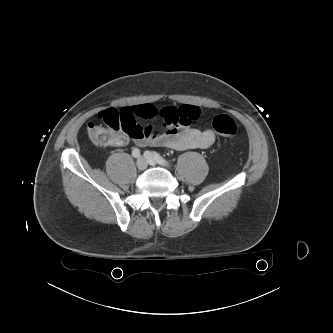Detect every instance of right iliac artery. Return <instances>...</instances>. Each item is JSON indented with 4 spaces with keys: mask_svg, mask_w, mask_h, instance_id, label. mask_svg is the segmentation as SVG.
I'll return each instance as SVG.
<instances>
[{
    "mask_svg": "<svg viewBox=\"0 0 333 333\" xmlns=\"http://www.w3.org/2000/svg\"><path fill=\"white\" fill-rule=\"evenodd\" d=\"M132 156L134 158H138L140 156V151L138 148H134L133 151H132Z\"/></svg>",
    "mask_w": 333,
    "mask_h": 333,
    "instance_id": "82829eb1",
    "label": "right iliac artery"
}]
</instances>
